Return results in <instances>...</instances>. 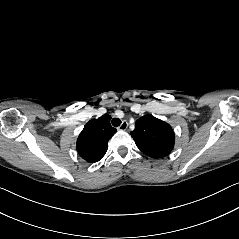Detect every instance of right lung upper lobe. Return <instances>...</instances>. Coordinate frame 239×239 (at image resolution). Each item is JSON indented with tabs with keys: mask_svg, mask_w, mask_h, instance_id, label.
<instances>
[{
	"mask_svg": "<svg viewBox=\"0 0 239 239\" xmlns=\"http://www.w3.org/2000/svg\"><path fill=\"white\" fill-rule=\"evenodd\" d=\"M111 116L105 114L90 120L77 139L78 154L86 161H99L106 153L109 139L116 133L110 125Z\"/></svg>",
	"mask_w": 239,
	"mask_h": 239,
	"instance_id": "right-lung-upper-lobe-1",
	"label": "right lung upper lobe"
}]
</instances>
